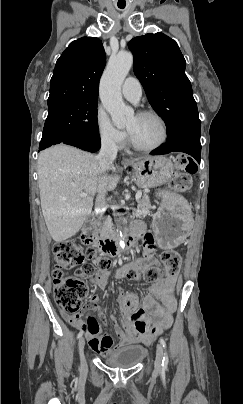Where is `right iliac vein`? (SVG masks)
<instances>
[{
    "label": "right iliac vein",
    "mask_w": 243,
    "mask_h": 404,
    "mask_svg": "<svg viewBox=\"0 0 243 404\" xmlns=\"http://www.w3.org/2000/svg\"><path fill=\"white\" fill-rule=\"evenodd\" d=\"M84 346H85V340L83 337L79 339L78 342V350H79V356H80V362H81V369L86 370L87 369V362L86 358L84 355Z\"/></svg>",
    "instance_id": "63e3f726"
}]
</instances>
